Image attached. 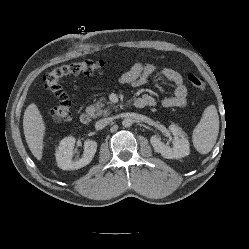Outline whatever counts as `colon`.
Segmentation results:
<instances>
[{"instance_id": "obj_1", "label": "colon", "mask_w": 249, "mask_h": 249, "mask_svg": "<svg viewBox=\"0 0 249 249\" xmlns=\"http://www.w3.org/2000/svg\"><path fill=\"white\" fill-rule=\"evenodd\" d=\"M107 64L102 60H84L72 62L55 67L44 76L45 88L57 99L58 103L49 111L50 117L55 122L69 121L72 117L71 101L63 90L60 81L66 77L75 75H93L101 73ZM189 82L196 88L204 90L206 82L202 77L194 74L188 75Z\"/></svg>"}]
</instances>
